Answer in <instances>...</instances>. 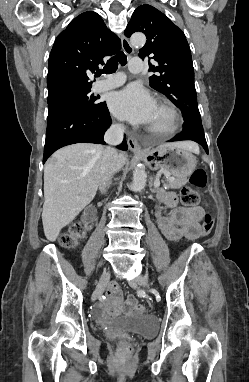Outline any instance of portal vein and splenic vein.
I'll return each instance as SVG.
<instances>
[{
	"label": "portal vein and splenic vein",
	"instance_id": "portal-vein-and-splenic-vein-1",
	"mask_svg": "<svg viewBox=\"0 0 249 382\" xmlns=\"http://www.w3.org/2000/svg\"><path fill=\"white\" fill-rule=\"evenodd\" d=\"M168 180L172 181L174 180V178H169ZM154 186L157 188L160 186V181L159 180H156L155 183H154Z\"/></svg>",
	"mask_w": 249,
	"mask_h": 382
}]
</instances>
